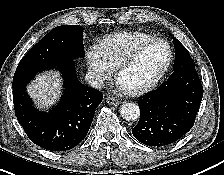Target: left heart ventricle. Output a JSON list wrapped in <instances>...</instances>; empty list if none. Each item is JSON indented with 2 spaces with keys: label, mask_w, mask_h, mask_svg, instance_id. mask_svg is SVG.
<instances>
[{
  "label": "left heart ventricle",
  "mask_w": 224,
  "mask_h": 175,
  "mask_svg": "<svg viewBox=\"0 0 224 175\" xmlns=\"http://www.w3.org/2000/svg\"><path fill=\"white\" fill-rule=\"evenodd\" d=\"M167 56L168 51L164 44L151 45L130 67L121 73L119 81L126 89H132L149 82L160 71Z\"/></svg>",
  "instance_id": "obj_1"
}]
</instances>
